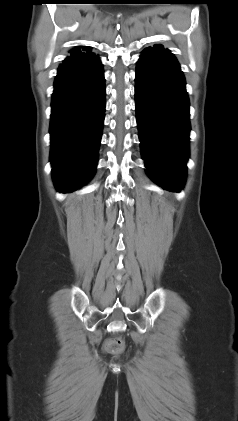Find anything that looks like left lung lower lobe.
I'll return each instance as SVG.
<instances>
[{
    "label": "left lung lower lobe",
    "mask_w": 238,
    "mask_h": 421,
    "mask_svg": "<svg viewBox=\"0 0 238 421\" xmlns=\"http://www.w3.org/2000/svg\"><path fill=\"white\" fill-rule=\"evenodd\" d=\"M135 105L147 174L179 191L189 157V99L179 63L162 45L146 48L137 62Z\"/></svg>",
    "instance_id": "left-lung-lower-lobe-1"
}]
</instances>
